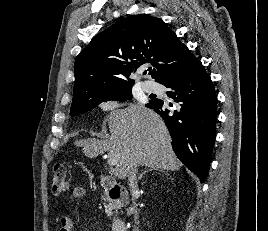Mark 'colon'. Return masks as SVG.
I'll return each mask as SVG.
<instances>
[{
  "instance_id": "5ec220e1",
  "label": "colon",
  "mask_w": 268,
  "mask_h": 231,
  "mask_svg": "<svg viewBox=\"0 0 268 231\" xmlns=\"http://www.w3.org/2000/svg\"><path fill=\"white\" fill-rule=\"evenodd\" d=\"M69 181L67 172L62 164H57L54 167L52 175L51 190L55 195H60L68 191Z\"/></svg>"
}]
</instances>
